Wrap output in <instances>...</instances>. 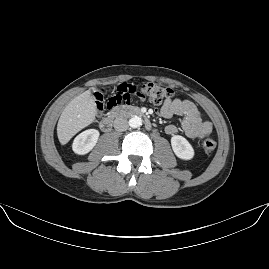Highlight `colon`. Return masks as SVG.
Wrapping results in <instances>:
<instances>
[{
    "label": "colon",
    "instance_id": "obj_1",
    "mask_svg": "<svg viewBox=\"0 0 269 269\" xmlns=\"http://www.w3.org/2000/svg\"><path fill=\"white\" fill-rule=\"evenodd\" d=\"M106 100L114 98L118 105L123 103H144L146 101L155 105H162L174 98V92L171 88L159 85L154 82H128L126 84H115L106 90ZM95 101H101L104 93L101 90H95L92 93ZM202 148L206 154H211L216 149V142L211 137H205L202 142Z\"/></svg>",
    "mask_w": 269,
    "mask_h": 269
}]
</instances>
